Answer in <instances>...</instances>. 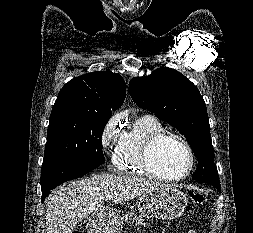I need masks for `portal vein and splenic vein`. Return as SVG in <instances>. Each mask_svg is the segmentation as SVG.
<instances>
[{
  "instance_id": "18ae733b",
  "label": "portal vein and splenic vein",
  "mask_w": 253,
  "mask_h": 233,
  "mask_svg": "<svg viewBox=\"0 0 253 233\" xmlns=\"http://www.w3.org/2000/svg\"><path fill=\"white\" fill-rule=\"evenodd\" d=\"M112 198H113V195H107L106 196V200H112Z\"/></svg>"
}]
</instances>
